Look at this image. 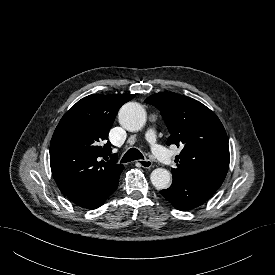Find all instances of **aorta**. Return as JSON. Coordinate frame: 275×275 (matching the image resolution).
<instances>
[{"label":"aorta","instance_id":"1","mask_svg":"<svg viewBox=\"0 0 275 275\" xmlns=\"http://www.w3.org/2000/svg\"><path fill=\"white\" fill-rule=\"evenodd\" d=\"M118 119L123 128L136 132L141 130L146 123V112L141 104L128 102L123 105L118 113ZM151 183L157 189H167L171 182V173L163 168H157L150 175Z\"/></svg>","mask_w":275,"mask_h":275}]
</instances>
